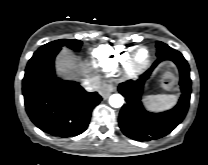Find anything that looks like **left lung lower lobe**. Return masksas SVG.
Wrapping results in <instances>:
<instances>
[{
    "label": "left lung lower lobe",
    "instance_id": "left-lung-lower-lobe-1",
    "mask_svg": "<svg viewBox=\"0 0 208 165\" xmlns=\"http://www.w3.org/2000/svg\"><path fill=\"white\" fill-rule=\"evenodd\" d=\"M136 82L128 81L118 86V91L125 97L126 104L123 105L119 115V126L122 132L129 138L138 141H150L159 139L169 134L185 118L191 94L190 68L183 55L174 49L166 51L159 56ZM173 61L180 73L181 97L177 105L171 110L162 113H151L144 109L141 95L146 80L156 66L164 61Z\"/></svg>",
    "mask_w": 208,
    "mask_h": 165
}]
</instances>
